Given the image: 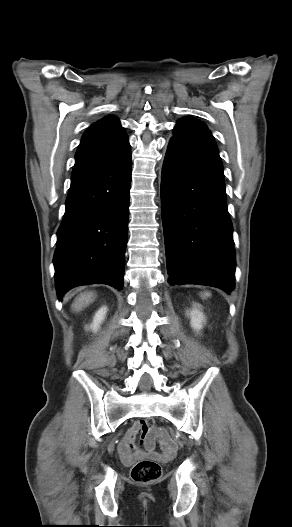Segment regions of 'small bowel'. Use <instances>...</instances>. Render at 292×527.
<instances>
[{
  "label": "small bowel",
  "instance_id": "1",
  "mask_svg": "<svg viewBox=\"0 0 292 527\" xmlns=\"http://www.w3.org/2000/svg\"><path fill=\"white\" fill-rule=\"evenodd\" d=\"M141 434V442L145 446V450L141 449L137 444V436ZM159 438V444L161 453H157L153 450L154 439ZM175 445L160 426H156L153 430H144L141 423L135 424L128 430L123 440L118 445V453L121 459L124 461V467L131 469L133 467V461L136 459L150 456L152 464L157 465L160 463L167 465L170 463L171 458L175 453Z\"/></svg>",
  "mask_w": 292,
  "mask_h": 527
}]
</instances>
